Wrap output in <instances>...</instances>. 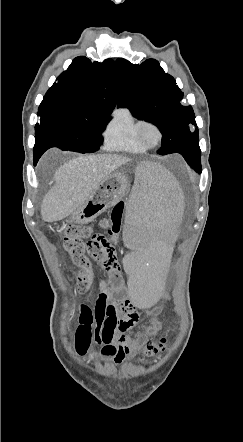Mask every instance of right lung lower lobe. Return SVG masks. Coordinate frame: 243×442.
<instances>
[{
    "instance_id": "1",
    "label": "right lung lower lobe",
    "mask_w": 243,
    "mask_h": 442,
    "mask_svg": "<svg viewBox=\"0 0 243 442\" xmlns=\"http://www.w3.org/2000/svg\"><path fill=\"white\" fill-rule=\"evenodd\" d=\"M42 154H43L42 152L37 153L34 151V162H37Z\"/></svg>"
}]
</instances>
